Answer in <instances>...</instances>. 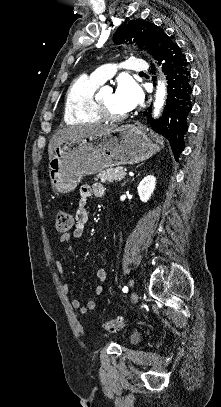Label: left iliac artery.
<instances>
[{
	"mask_svg": "<svg viewBox=\"0 0 221 407\" xmlns=\"http://www.w3.org/2000/svg\"><path fill=\"white\" fill-rule=\"evenodd\" d=\"M122 291H123V292H128V287L125 286V287L122 289Z\"/></svg>",
	"mask_w": 221,
	"mask_h": 407,
	"instance_id": "44dca946",
	"label": "left iliac artery"
}]
</instances>
